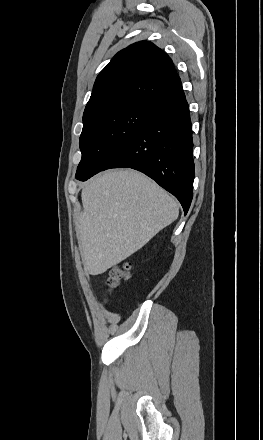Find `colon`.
Returning a JSON list of instances; mask_svg holds the SVG:
<instances>
[{
    "instance_id": "obj_1",
    "label": "colon",
    "mask_w": 263,
    "mask_h": 440,
    "mask_svg": "<svg viewBox=\"0 0 263 440\" xmlns=\"http://www.w3.org/2000/svg\"><path fill=\"white\" fill-rule=\"evenodd\" d=\"M129 279V266L127 263H123L110 268L106 284L110 289H114Z\"/></svg>"
}]
</instances>
